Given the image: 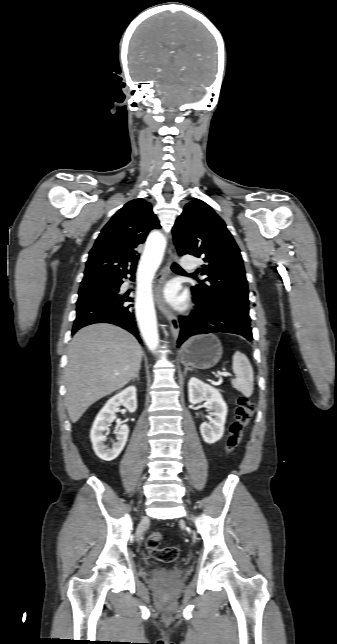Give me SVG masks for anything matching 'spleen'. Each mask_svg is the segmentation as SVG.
Masks as SVG:
<instances>
[{
	"label": "spleen",
	"mask_w": 337,
	"mask_h": 644,
	"mask_svg": "<svg viewBox=\"0 0 337 644\" xmlns=\"http://www.w3.org/2000/svg\"><path fill=\"white\" fill-rule=\"evenodd\" d=\"M233 372L236 376L232 386L244 396L250 397L254 387V373L248 358L239 351L233 355Z\"/></svg>",
	"instance_id": "3e777b00"
}]
</instances>
